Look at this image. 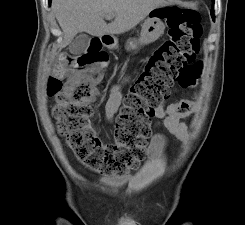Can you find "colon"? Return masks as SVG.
Returning <instances> with one entry per match:
<instances>
[{
    "mask_svg": "<svg viewBox=\"0 0 245 225\" xmlns=\"http://www.w3.org/2000/svg\"><path fill=\"white\" fill-rule=\"evenodd\" d=\"M169 38L146 60L139 77L126 94L116 121L115 143L104 145L90 120L97 90L86 83L99 73H76L74 68H107L109 56L97 38H88L84 55L64 54L55 66L48 91L55 95L52 116L58 133L65 138L74 157L90 170L109 176H123L144 154L156 108L170 96L174 85L195 88L201 66L196 64L201 35L200 16L194 10L164 9ZM196 111L194 100L176 103V114L184 117Z\"/></svg>",
    "mask_w": 245,
    "mask_h": 225,
    "instance_id": "colon-1",
    "label": "colon"
}]
</instances>
